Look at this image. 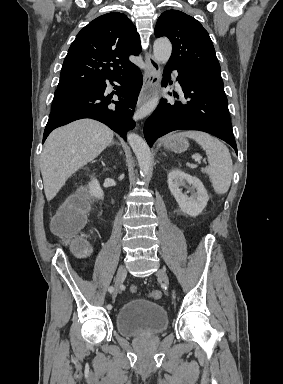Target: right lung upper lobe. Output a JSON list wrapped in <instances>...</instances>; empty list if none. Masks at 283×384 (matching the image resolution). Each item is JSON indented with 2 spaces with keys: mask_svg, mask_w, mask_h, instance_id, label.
<instances>
[{
  "mask_svg": "<svg viewBox=\"0 0 283 384\" xmlns=\"http://www.w3.org/2000/svg\"><path fill=\"white\" fill-rule=\"evenodd\" d=\"M141 51L133 23L122 13H108L85 26L64 60L57 90L90 88L116 79L136 66L128 60Z\"/></svg>",
  "mask_w": 283,
  "mask_h": 384,
  "instance_id": "right-lung-upper-lobe-1",
  "label": "right lung upper lobe"
}]
</instances>
